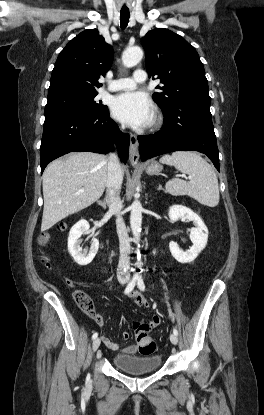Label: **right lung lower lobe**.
<instances>
[{
	"label": "right lung lower lobe",
	"instance_id": "1",
	"mask_svg": "<svg viewBox=\"0 0 264 415\" xmlns=\"http://www.w3.org/2000/svg\"><path fill=\"white\" fill-rule=\"evenodd\" d=\"M116 141L121 160L126 163L129 135L122 134L109 117V110L97 113L65 112L45 117L40 146L41 173L52 160L72 151L107 153Z\"/></svg>",
	"mask_w": 264,
	"mask_h": 415
}]
</instances>
